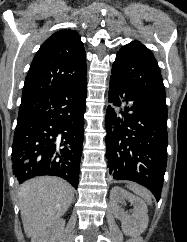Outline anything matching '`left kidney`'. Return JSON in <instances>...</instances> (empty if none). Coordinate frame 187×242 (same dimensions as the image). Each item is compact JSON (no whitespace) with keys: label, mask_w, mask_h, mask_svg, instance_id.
<instances>
[{"label":"left kidney","mask_w":187,"mask_h":242,"mask_svg":"<svg viewBox=\"0 0 187 242\" xmlns=\"http://www.w3.org/2000/svg\"><path fill=\"white\" fill-rule=\"evenodd\" d=\"M128 200L133 205L131 215H128L120 206ZM110 204L114 216L121 220L122 231L129 236H137L144 232L148 226V209L145 202L120 187L112 188Z\"/></svg>","instance_id":"1"}]
</instances>
